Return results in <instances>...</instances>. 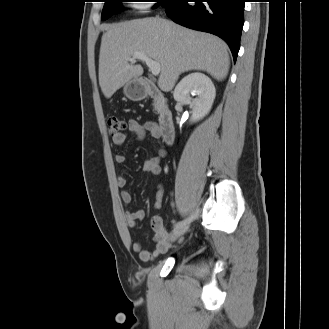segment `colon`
<instances>
[{"mask_svg":"<svg viewBox=\"0 0 329 329\" xmlns=\"http://www.w3.org/2000/svg\"><path fill=\"white\" fill-rule=\"evenodd\" d=\"M109 132L112 136H116L124 133L125 124L124 122L117 117H110L108 119Z\"/></svg>","mask_w":329,"mask_h":329,"instance_id":"5ec220e1","label":"colon"}]
</instances>
